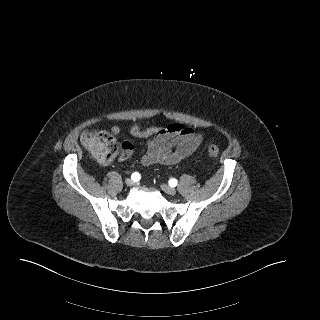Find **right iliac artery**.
I'll return each instance as SVG.
<instances>
[{
    "mask_svg": "<svg viewBox=\"0 0 320 320\" xmlns=\"http://www.w3.org/2000/svg\"><path fill=\"white\" fill-rule=\"evenodd\" d=\"M133 181H138L140 179V174L135 172L131 175Z\"/></svg>",
    "mask_w": 320,
    "mask_h": 320,
    "instance_id": "1",
    "label": "right iliac artery"
}]
</instances>
